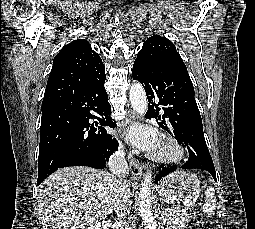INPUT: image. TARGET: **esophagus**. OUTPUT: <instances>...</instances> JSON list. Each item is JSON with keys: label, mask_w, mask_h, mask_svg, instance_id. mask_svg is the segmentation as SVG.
I'll use <instances>...</instances> for the list:
<instances>
[{"label": "esophagus", "mask_w": 255, "mask_h": 229, "mask_svg": "<svg viewBox=\"0 0 255 229\" xmlns=\"http://www.w3.org/2000/svg\"><path fill=\"white\" fill-rule=\"evenodd\" d=\"M136 120H137V115L135 114V112L131 111L128 115L126 123L130 125L133 122H135ZM128 159L130 162L132 176L136 180H140L142 177L143 165L141 163H139V161L133 157L132 153H129Z\"/></svg>", "instance_id": "34e87169"}]
</instances>
